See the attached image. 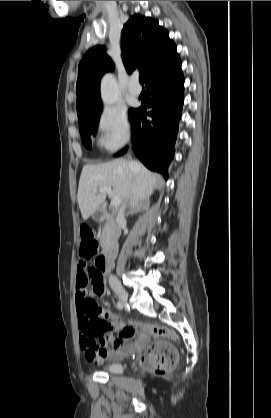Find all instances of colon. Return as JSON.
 <instances>
[{
	"mask_svg": "<svg viewBox=\"0 0 271 418\" xmlns=\"http://www.w3.org/2000/svg\"><path fill=\"white\" fill-rule=\"evenodd\" d=\"M80 237L79 256L81 261L86 262L95 255L97 251V241L92 229L88 226L81 228ZM94 267H97V265ZM152 330L157 338V342L147 351L142 359V363L146 369L153 371L158 375H164L171 372L176 367L178 354L171 344L172 335L170 332L158 327H154Z\"/></svg>",
	"mask_w": 271,
	"mask_h": 418,
	"instance_id": "colon-1",
	"label": "colon"
}]
</instances>
